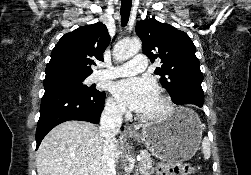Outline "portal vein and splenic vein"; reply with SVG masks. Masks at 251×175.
<instances>
[{
    "mask_svg": "<svg viewBox=\"0 0 251 175\" xmlns=\"http://www.w3.org/2000/svg\"><path fill=\"white\" fill-rule=\"evenodd\" d=\"M136 159H141V155H137ZM84 175H88V173H84Z\"/></svg>",
    "mask_w": 251,
    "mask_h": 175,
    "instance_id": "obj_1",
    "label": "portal vein and splenic vein"
}]
</instances>
